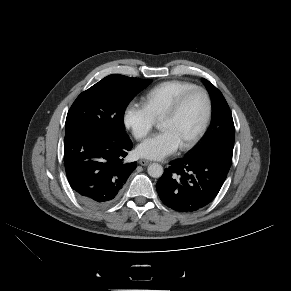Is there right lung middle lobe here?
Instances as JSON below:
<instances>
[{
  "instance_id": "dd1d6c3e",
  "label": "right lung middle lobe",
  "mask_w": 291,
  "mask_h": 291,
  "mask_svg": "<svg viewBox=\"0 0 291 291\" xmlns=\"http://www.w3.org/2000/svg\"><path fill=\"white\" fill-rule=\"evenodd\" d=\"M152 80L109 75L81 93L66 118L65 134L74 131L125 132L123 116L129 102Z\"/></svg>"
}]
</instances>
